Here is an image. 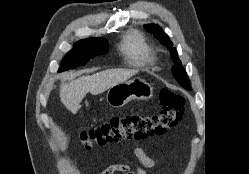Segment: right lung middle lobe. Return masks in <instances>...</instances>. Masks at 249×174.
<instances>
[{
    "label": "right lung middle lobe",
    "instance_id": "dd1d6c3e",
    "mask_svg": "<svg viewBox=\"0 0 249 174\" xmlns=\"http://www.w3.org/2000/svg\"><path fill=\"white\" fill-rule=\"evenodd\" d=\"M108 52V43L105 39L91 38L76 42L75 46L63 59L58 72L74 69L85 65L90 58Z\"/></svg>",
    "mask_w": 249,
    "mask_h": 174
}]
</instances>
